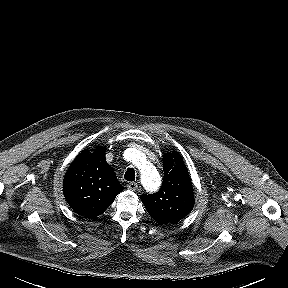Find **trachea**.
Here are the masks:
<instances>
[{
	"instance_id": "obj_1",
	"label": "trachea",
	"mask_w": 288,
	"mask_h": 288,
	"mask_svg": "<svg viewBox=\"0 0 288 288\" xmlns=\"http://www.w3.org/2000/svg\"><path fill=\"white\" fill-rule=\"evenodd\" d=\"M125 180L134 181L135 180V171L133 168H128L124 175Z\"/></svg>"
}]
</instances>
